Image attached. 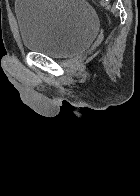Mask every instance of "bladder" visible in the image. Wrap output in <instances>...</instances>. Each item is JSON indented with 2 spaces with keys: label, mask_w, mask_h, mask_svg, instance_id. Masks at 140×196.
I'll list each match as a JSON object with an SVG mask.
<instances>
[{
  "label": "bladder",
  "mask_w": 140,
  "mask_h": 196,
  "mask_svg": "<svg viewBox=\"0 0 140 196\" xmlns=\"http://www.w3.org/2000/svg\"><path fill=\"white\" fill-rule=\"evenodd\" d=\"M14 13L23 47L54 59L85 51L98 31L85 0H15Z\"/></svg>",
  "instance_id": "obj_1"
}]
</instances>
